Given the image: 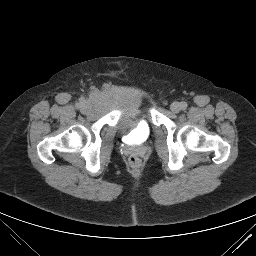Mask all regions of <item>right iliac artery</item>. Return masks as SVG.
<instances>
[{
  "instance_id": "1",
  "label": "right iliac artery",
  "mask_w": 256,
  "mask_h": 256,
  "mask_svg": "<svg viewBox=\"0 0 256 256\" xmlns=\"http://www.w3.org/2000/svg\"><path fill=\"white\" fill-rule=\"evenodd\" d=\"M84 102V99L81 98L79 103H76V108H80L81 104Z\"/></svg>"
}]
</instances>
